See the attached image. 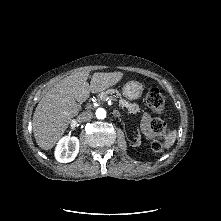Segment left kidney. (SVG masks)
Segmentation results:
<instances>
[{
  "mask_svg": "<svg viewBox=\"0 0 221 221\" xmlns=\"http://www.w3.org/2000/svg\"><path fill=\"white\" fill-rule=\"evenodd\" d=\"M140 144H141V141H140V135H139V137L137 138V143H136L135 146H139Z\"/></svg>",
  "mask_w": 221,
  "mask_h": 221,
  "instance_id": "left-kidney-1",
  "label": "left kidney"
}]
</instances>
